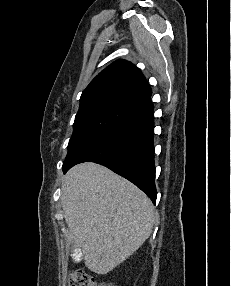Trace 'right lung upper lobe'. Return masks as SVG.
I'll use <instances>...</instances> for the list:
<instances>
[{"label": "right lung upper lobe", "instance_id": "obj_1", "mask_svg": "<svg viewBox=\"0 0 231 286\" xmlns=\"http://www.w3.org/2000/svg\"><path fill=\"white\" fill-rule=\"evenodd\" d=\"M150 96L151 89L141 71L131 62L117 60L83 91L79 110L102 103H115L136 110Z\"/></svg>", "mask_w": 231, "mask_h": 286}]
</instances>
